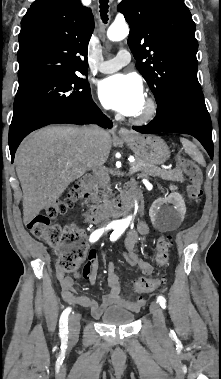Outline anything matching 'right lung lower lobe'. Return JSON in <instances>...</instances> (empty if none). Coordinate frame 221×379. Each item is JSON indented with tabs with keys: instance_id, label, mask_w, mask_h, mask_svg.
Wrapping results in <instances>:
<instances>
[{
	"instance_id": "98d812e1",
	"label": "right lung lower lobe",
	"mask_w": 221,
	"mask_h": 379,
	"mask_svg": "<svg viewBox=\"0 0 221 379\" xmlns=\"http://www.w3.org/2000/svg\"><path fill=\"white\" fill-rule=\"evenodd\" d=\"M54 123H69V124H90V123H97L99 126L104 128H111L112 123L110 120L101 112V110L96 106V104L92 101V99L85 105L74 108L70 110L69 112L62 113L60 115L54 116L52 118H49L39 125H37L33 130H36L38 128H41L43 126L54 124ZM30 132L19 138L14 143H9L10 153L12 162L14 160V155L16 152L17 147L19 146L20 142L23 140V138L28 135Z\"/></svg>"
}]
</instances>
